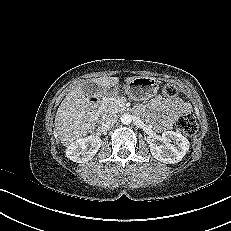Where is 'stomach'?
Instances as JSON below:
<instances>
[{
  "label": "stomach",
  "instance_id": "obj_1",
  "mask_svg": "<svg viewBox=\"0 0 231 231\" xmlns=\"http://www.w3.org/2000/svg\"><path fill=\"white\" fill-rule=\"evenodd\" d=\"M159 89V82L153 77H136L123 86V92L130 99L141 101L154 97ZM118 88L113 87L106 92L107 95H116Z\"/></svg>",
  "mask_w": 231,
  "mask_h": 231
}]
</instances>
